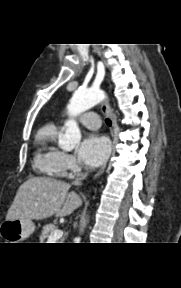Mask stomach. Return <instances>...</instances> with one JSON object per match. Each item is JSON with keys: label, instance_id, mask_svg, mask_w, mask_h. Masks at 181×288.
I'll use <instances>...</instances> for the list:
<instances>
[{"label": "stomach", "instance_id": "obj_1", "mask_svg": "<svg viewBox=\"0 0 181 288\" xmlns=\"http://www.w3.org/2000/svg\"><path fill=\"white\" fill-rule=\"evenodd\" d=\"M35 230V225L30 219L5 220L0 224V237L6 243H20L29 238Z\"/></svg>", "mask_w": 181, "mask_h": 288}]
</instances>
